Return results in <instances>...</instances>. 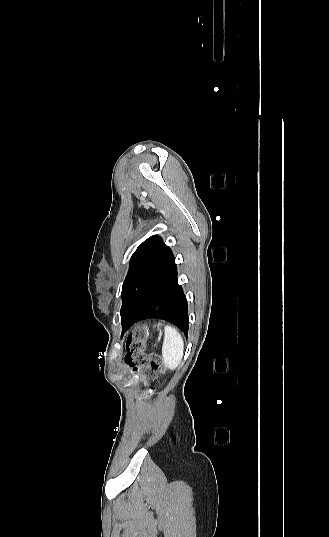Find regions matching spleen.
<instances>
[{
	"label": "spleen",
	"instance_id": "spleen-1",
	"mask_svg": "<svg viewBox=\"0 0 329 537\" xmlns=\"http://www.w3.org/2000/svg\"><path fill=\"white\" fill-rule=\"evenodd\" d=\"M184 353V341L180 333L172 326L165 327L162 346L163 361L169 369L174 370L180 364Z\"/></svg>",
	"mask_w": 329,
	"mask_h": 537
}]
</instances>
